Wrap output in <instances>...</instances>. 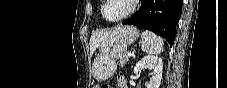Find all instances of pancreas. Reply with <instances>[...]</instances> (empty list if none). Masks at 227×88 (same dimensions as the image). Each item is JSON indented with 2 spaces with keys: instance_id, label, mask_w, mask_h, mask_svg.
I'll return each instance as SVG.
<instances>
[{
  "instance_id": "pancreas-1",
  "label": "pancreas",
  "mask_w": 227,
  "mask_h": 88,
  "mask_svg": "<svg viewBox=\"0 0 227 88\" xmlns=\"http://www.w3.org/2000/svg\"><path fill=\"white\" fill-rule=\"evenodd\" d=\"M129 60V56L127 54H124L120 59H119V65L124 66L125 63Z\"/></svg>"
}]
</instances>
